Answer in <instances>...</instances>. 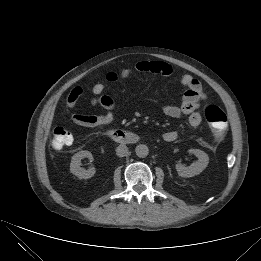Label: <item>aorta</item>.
<instances>
[{
  "mask_svg": "<svg viewBox=\"0 0 261 261\" xmlns=\"http://www.w3.org/2000/svg\"><path fill=\"white\" fill-rule=\"evenodd\" d=\"M136 155L140 158H144L148 155L149 149L145 144H139L135 148Z\"/></svg>",
  "mask_w": 261,
  "mask_h": 261,
  "instance_id": "aorta-1",
  "label": "aorta"
}]
</instances>
